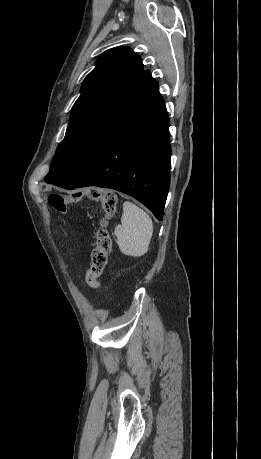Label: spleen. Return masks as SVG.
Listing matches in <instances>:
<instances>
[{
  "mask_svg": "<svg viewBox=\"0 0 261 459\" xmlns=\"http://www.w3.org/2000/svg\"><path fill=\"white\" fill-rule=\"evenodd\" d=\"M120 251L132 257L144 255L153 235V222L150 216L130 201L123 204L121 224L114 230Z\"/></svg>",
  "mask_w": 261,
  "mask_h": 459,
  "instance_id": "1",
  "label": "spleen"
}]
</instances>
